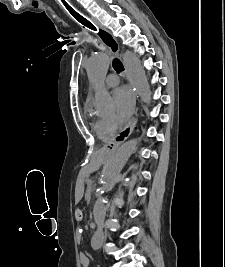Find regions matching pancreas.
Returning <instances> with one entry per match:
<instances>
[{
    "label": "pancreas",
    "instance_id": "cf45deb5",
    "mask_svg": "<svg viewBox=\"0 0 225 267\" xmlns=\"http://www.w3.org/2000/svg\"><path fill=\"white\" fill-rule=\"evenodd\" d=\"M91 191H92L91 186H89V187L87 188V190H86V194H85V199L87 200V202L90 201Z\"/></svg>",
    "mask_w": 225,
    "mask_h": 267
}]
</instances>
